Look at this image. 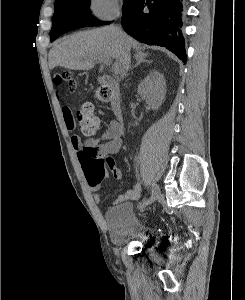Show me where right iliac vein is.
Segmentation results:
<instances>
[{
  "mask_svg": "<svg viewBox=\"0 0 245 300\" xmlns=\"http://www.w3.org/2000/svg\"><path fill=\"white\" fill-rule=\"evenodd\" d=\"M159 194H160V190H159L158 186L152 187V195H151L148 203L147 204H143L142 206L140 204H138V209L139 210H143L150 203L154 202L159 197ZM142 202H143V200H142Z\"/></svg>",
  "mask_w": 245,
  "mask_h": 300,
  "instance_id": "right-iliac-vein-1",
  "label": "right iliac vein"
}]
</instances>
